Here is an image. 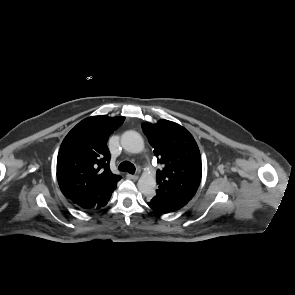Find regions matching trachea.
<instances>
[{
    "mask_svg": "<svg viewBox=\"0 0 295 295\" xmlns=\"http://www.w3.org/2000/svg\"><path fill=\"white\" fill-rule=\"evenodd\" d=\"M118 169L120 171L128 172L130 174H134L135 173V170H136L135 166L132 163L128 162V161H123L119 165Z\"/></svg>",
    "mask_w": 295,
    "mask_h": 295,
    "instance_id": "trachea-1",
    "label": "trachea"
}]
</instances>
